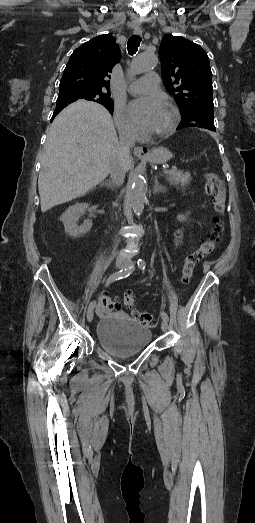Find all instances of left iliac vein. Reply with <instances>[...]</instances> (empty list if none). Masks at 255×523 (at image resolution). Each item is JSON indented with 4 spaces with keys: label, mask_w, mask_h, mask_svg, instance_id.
<instances>
[{
    "label": "left iliac vein",
    "mask_w": 255,
    "mask_h": 523,
    "mask_svg": "<svg viewBox=\"0 0 255 523\" xmlns=\"http://www.w3.org/2000/svg\"><path fill=\"white\" fill-rule=\"evenodd\" d=\"M133 266V262L129 261L127 263V266L126 267H132ZM161 329L163 332H166L167 329H168V323L167 321L163 320L162 323H161Z\"/></svg>",
    "instance_id": "left-iliac-vein-1"
}]
</instances>
